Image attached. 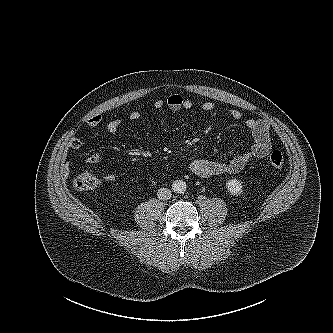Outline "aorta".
<instances>
[{"label":"aorta","instance_id":"aorta-1","mask_svg":"<svg viewBox=\"0 0 333 333\" xmlns=\"http://www.w3.org/2000/svg\"><path fill=\"white\" fill-rule=\"evenodd\" d=\"M172 188L176 193H184L186 191L187 185L183 180H176L172 184Z\"/></svg>","mask_w":333,"mask_h":333}]
</instances>
